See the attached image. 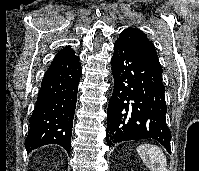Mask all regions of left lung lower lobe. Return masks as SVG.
Masks as SVG:
<instances>
[{
  "mask_svg": "<svg viewBox=\"0 0 199 171\" xmlns=\"http://www.w3.org/2000/svg\"><path fill=\"white\" fill-rule=\"evenodd\" d=\"M111 63L115 82L107 111V145L152 138L171 153L163 70L119 41Z\"/></svg>",
  "mask_w": 199,
  "mask_h": 171,
  "instance_id": "obj_1",
  "label": "left lung lower lobe"
}]
</instances>
